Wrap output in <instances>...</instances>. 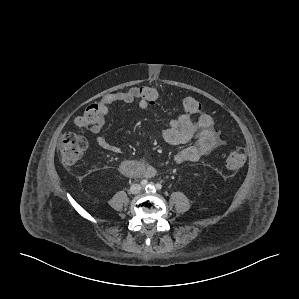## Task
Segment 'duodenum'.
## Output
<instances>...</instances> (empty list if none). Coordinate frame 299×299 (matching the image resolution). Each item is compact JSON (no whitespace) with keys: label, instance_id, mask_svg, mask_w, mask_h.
<instances>
[{"label":"duodenum","instance_id":"410a0bca","mask_svg":"<svg viewBox=\"0 0 299 299\" xmlns=\"http://www.w3.org/2000/svg\"><path fill=\"white\" fill-rule=\"evenodd\" d=\"M120 169L127 176H136L139 173V164L135 161H126L121 164Z\"/></svg>","mask_w":299,"mask_h":299}]
</instances>
